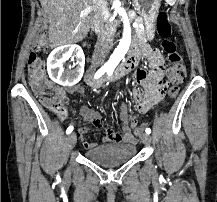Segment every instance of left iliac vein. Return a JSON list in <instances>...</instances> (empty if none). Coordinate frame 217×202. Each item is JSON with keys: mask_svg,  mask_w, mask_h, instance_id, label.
<instances>
[{"mask_svg": "<svg viewBox=\"0 0 217 202\" xmlns=\"http://www.w3.org/2000/svg\"><path fill=\"white\" fill-rule=\"evenodd\" d=\"M140 138L144 144H149L151 142V137L148 134L144 133L140 136Z\"/></svg>", "mask_w": 217, "mask_h": 202, "instance_id": "obj_1", "label": "left iliac vein"}]
</instances>
